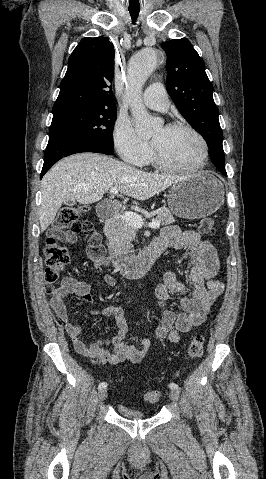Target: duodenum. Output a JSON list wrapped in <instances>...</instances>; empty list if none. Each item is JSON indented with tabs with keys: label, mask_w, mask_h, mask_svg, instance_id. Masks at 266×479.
Instances as JSON below:
<instances>
[{
	"label": "duodenum",
	"mask_w": 266,
	"mask_h": 479,
	"mask_svg": "<svg viewBox=\"0 0 266 479\" xmlns=\"http://www.w3.org/2000/svg\"><path fill=\"white\" fill-rule=\"evenodd\" d=\"M114 206L115 203L112 201L98 204L96 212L100 219L106 223H112ZM165 249V245L157 239L135 257H126L116 252H110L106 260L123 276L136 279L144 276L152 268L155 260ZM88 252L92 258H100L104 254V249L102 246L92 244L89 246Z\"/></svg>",
	"instance_id": "duodenum-1"
}]
</instances>
